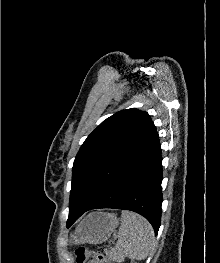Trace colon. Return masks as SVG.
Returning a JSON list of instances; mask_svg holds the SVG:
<instances>
[{"label": "colon", "instance_id": "colon-1", "mask_svg": "<svg viewBox=\"0 0 220 263\" xmlns=\"http://www.w3.org/2000/svg\"><path fill=\"white\" fill-rule=\"evenodd\" d=\"M75 259L77 263H85L90 260L92 263H110L109 259L103 254L87 250L86 248H78L75 251Z\"/></svg>", "mask_w": 220, "mask_h": 263}]
</instances>
